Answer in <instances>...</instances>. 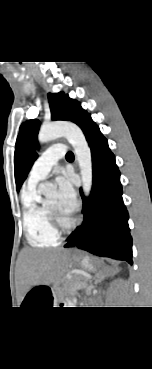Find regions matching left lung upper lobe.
<instances>
[{
    "label": "left lung upper lobe",
    "mask_w": 152,
    "mask_h": 369,
    "mask_svg": "<svg viewBox=\"0 0 152 369\" xmlns=\"http://www.w3.org/2000/svg\"><path fill=\"white\" fill-rule=\"evenodd\" d=\"M52 120L72 121L81 126L83 122L90 116L81 104L68 95L63 93L48 94ZM38 120H28L20 127L17 137L14 163H15V180L17 191L27 177L34 160L37 157L35 149L38 146L37 134L39 131Z\"/></svg>",
    "instance_id": "obj_1"
}]
</instances>
